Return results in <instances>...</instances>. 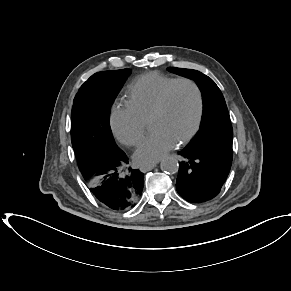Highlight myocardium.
<instances>
[{"label": "myocardium", "instance_id": "f54148a6", "mask_svg": "<svg viewBox=\"0 0 291 291\" xmlns=\"http://www.w3.org/2000/svg\"><path fill=\"white\" fill-rule=\"evenodd\" d=\"M180 84L189 85L194 90L196 99H197V114H196L194 125L186 134L180 137L177 141L178 144H184L188 142L189 140H191L197 134V132L199 131L201 127L203 115H204L203 94L199 85L194 80L189 79V78H178V79H175L169 86H167L165 90L163 91L158 104L156 105L154 110L151 112L150 117H149V122L153 118L163 114L167 110L168 105H169L170 95L172 91L174 90V88Z\"/></svg>", "mask_w": 291, "mask_h": 291}]
</instances>
